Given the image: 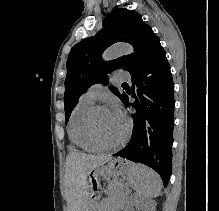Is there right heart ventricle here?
Here are the masks:
<instances>
[{
	"label": "right heart ventricle",
	"instance_id": "right-heart-ventricle-1",
	"mask_svg": "<svg viewBox=\"0 0 219 211\" xmlns=\"http://www.w3.org/2000/svg\"><path fill=\"white\" fill-rule=\"evenodd\" d=\"M93 106V102L80 99L72 109L68 122L70 140L78 147L89 152L104 149L92 138L88 129V116Z\"/></svg>",
	"mask_w": 219,
	"mask_h": 211
}]
</instances>
